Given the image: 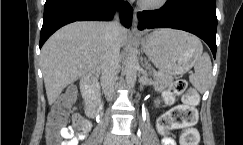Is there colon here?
Here are the masks:
<instances>
[{"label":"colon","instance_id":"colon-1","mask_svg":"<svg viewBox=\"0 0 243 145\" xmlns=\"http://www.w3.org/2000/svg\"><path fill=\"white\" fill-rule=\"evenodd\" d=\"M182 95L183 104L173 107L163 114L157 127L160 133L165 134L173 129H183L181 145H198L199 133L194 128L197 121V113L194 105L198 101L196 90L189 87L184 79H176L172 82L164 100L167 104L172 103L174 96ZM74 99V92L68 91L55 104L48 116L46 125V140L48 145H61V131L65 128L66 117L69 114L70 105ZM79 132H85L90 126L83 118H77L74 122Z\"/></svg>","mask_w":243,"mask_h":145}]
</instances>
